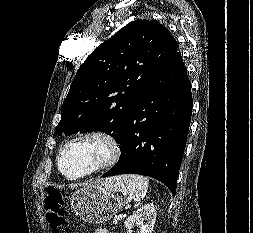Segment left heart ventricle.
I'll return each mask as SVG.
<instances>
[{
	"mask_svg": "<svg viewBox=\"0 0 253 233\" xmlns=\"http://www.w3.org/2000/svg\"><path fill=\"white\" fill-rule=\"evenodd\" d=\"M107 154L104 144L90 141L70 147L62 158V168L69 176H77L89 171L100 163Z\"/></svg>",
	"mask_w": 253,
	"mask_h": 233,
	"instance_id": "obj_1",
	"label": "left heart ventricle"
}]
</instances>
